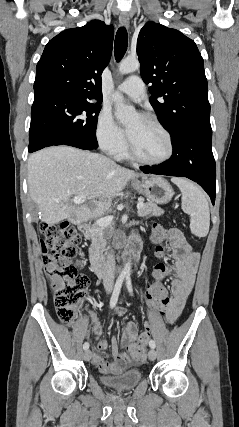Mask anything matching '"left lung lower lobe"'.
<instances>
[{
    "label": "left lung lower lobe",
    "mask_w": 239,
    "mask_h": 427,
    "mask_svg": "<svg viewBox=\"0 0 239 427\" xmlns=\"http://www.w3.org/2000/svg\"><path fill=\"white\" fill-rule=\"evenodd\" d=\"M171 159L144 173L187 177L197 182L215 202L216 165L212 153V130L191 128L179 133L172 141Z\"/></svg>",
    "instance_id": "0a47b994"
}]
</instances>
